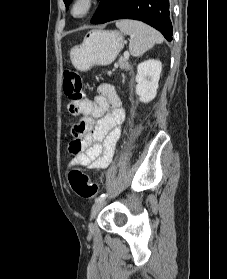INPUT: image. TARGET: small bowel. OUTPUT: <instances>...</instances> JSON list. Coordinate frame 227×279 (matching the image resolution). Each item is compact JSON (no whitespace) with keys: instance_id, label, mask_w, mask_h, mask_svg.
Listing matches in <instances>:
<instances>
[{"instance_id":"c3829d8e","label":"small bowel","mask_w":227,"mask_h":279,"mask_svg":"<svg viewBox=\"0 0 227 279\" xmlns=\"http://www.w3.org/2000/svg\"><path fill=\"white\" fill-rule=\"evenodd\" d=\"M76 113L83 117L71 129V145L79 144L80 148L69 166L108 167L125 119V109L115 87L102 84L93 100L79 102Z\"/></svg>"}]
</instances>
